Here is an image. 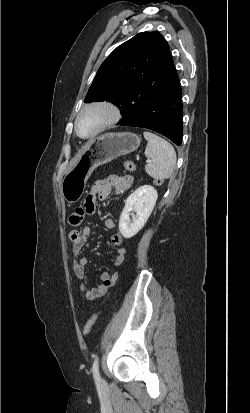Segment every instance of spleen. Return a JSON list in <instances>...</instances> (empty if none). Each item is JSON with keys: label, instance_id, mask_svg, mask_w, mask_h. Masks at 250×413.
Wrapping results in <instances>:
<instances>
[{"label": "spleen", "instance_id": "3e777b00", "mask_svg": "<svg viewBox=\"0 0 250 413\" xmlns=\"http://www.w3.org/2000/svg\"><path fill=\"white\" fill-rule=\"evenodd\" d=\"M147 140L145 156L150 159L145 166V171L155 180L170 178L176 165V152L173 146L158 135L145 131Z\"/></svg>", "mask_w": 250, "mask_h": 413}]
</instances>
